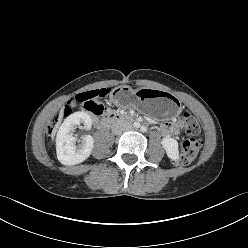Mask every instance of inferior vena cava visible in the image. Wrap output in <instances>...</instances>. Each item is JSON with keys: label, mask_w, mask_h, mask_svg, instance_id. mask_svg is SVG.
Segmentation results:
<instances>
[{"label": "inferior vena cava", "mask_w": 248, "mask_h": 248, "mask_svg": "<svg viewBox=\"0 0 248 248\" xmlns=\"http://www.w3.org/2000/svg\"><path fill=\"white\" fill-rule=\"evenodd\" d=\"M131 128H132V126H131L130 124L118 122V123H115V124L112 126V132H113L114 134H120V133H122L123 131L129 130V129H131Z\"/></svg>", "instance_id": "602c4592"}]
</instances>
